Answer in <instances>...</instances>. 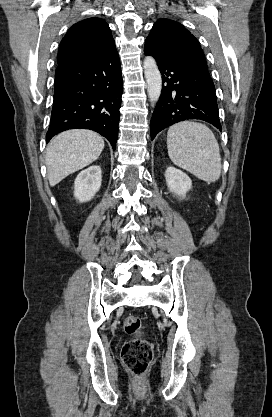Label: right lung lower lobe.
Masks as SVG:
<instances>
[{
	"label": "right lung lower lobe",
	"instance_id": "1",
	"mask_svg": "<svg viewBox=\"0 0 272 417\" xmlns=\"http://www.w3.org/2000/svg\"><path fill=\"white\" fill-rule=\"evenodd\" d=\"M46 142L68 129H90L116 148L123 80L115 43L88 63L58 66Z\"/></svg>",
	"mask_w": 272,
	"mask_h": 417
}]
</instances>
